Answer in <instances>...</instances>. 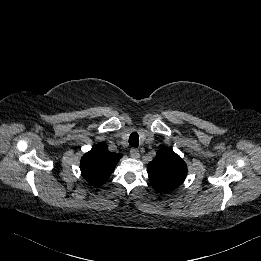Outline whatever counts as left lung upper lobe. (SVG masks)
I'll return each mask as SVG.
<instances>
[{
  "instance_id": "obj_1",
  "label": "left lung upper lobe",
  "mask_w": 261,
  "mask_h": 261,
  "mask_svg": "<svg viewBox=\"0 0 261 261\" xmlns=\"http://www.w3.org/2000/svg\"><path fill=\"white\" fill-rule=\"evenodd\" d=\"M147 169L150 183L158 192L176 189L187 175L186 163L169 147L161 148Z\"/></svg>"
}]
</instances>
